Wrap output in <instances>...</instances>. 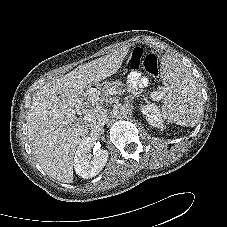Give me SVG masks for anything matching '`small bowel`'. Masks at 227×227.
Returning <instances> with one entry per match:
<instances>
[{
    "mask_svg": "<svg viewBox=\"0 0 227 227\" xmlns=\"http://www.w3.org/2000/svg\"><path fill=\"white\" fill-rule=\"evenodd\" d=\"M128 89L130 91L136 90L138 87L145 86L147 84V79L141 77L138 72H132L127 77Z\"/></svg>",
    "mask_w": 227,
    "mask_h": 227,
    "instance_id": "small-bowel-1",
    "label": "small bowel"
}]
</instances>
